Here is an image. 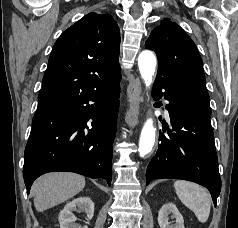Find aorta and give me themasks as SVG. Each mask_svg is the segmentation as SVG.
<instances>
[{"instance_id":"aorta-1","label":"aorta","mask_w":238,"mask_h":228,"mask_svg":"<svg viewBox=\"0 0 238 228\" xmlns=\"http://www.w3.org/2000/svg\"><path fill=\"white\" fill-rule=\"evenodd\" d=\"M157 59L152 51L144 50L138 56V67L140 75L147 87L152 83V78L156 71ZM156 140V129L153 119L148 118L143 125L139 140V154L141 157L149 154Z\"/></svg>"}]
</instances>
